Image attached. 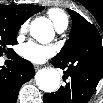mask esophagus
Wrapping results in <instances>:
<instances>
[{
    "label": "esophagus",
    "instance_id": "34e87169",
    "mask_svg": "<svg viewBox=\"0 0 103 103\" xmlns=\"http://www.w3.org/2000/svg\"><path fill=\"white\" fill-rule=\"evenodd\" d=\"M41 67H42L41 65L34 64V69H35V70H38V69H40Z\"/></svg>",
    "mask_w": 103,
    "mask_h": 103
}]
</instances>
